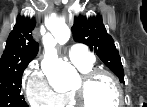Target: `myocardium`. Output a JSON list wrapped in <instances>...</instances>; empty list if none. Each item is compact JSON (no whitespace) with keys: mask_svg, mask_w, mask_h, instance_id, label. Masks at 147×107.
<instances>
[{"mask_svg":"<svg viewBox=\"0 0 147 107\" xmlns=\"http://www.w3.org/2000/svg\"><path fill=\"white\" fill-rule=\"evenodd\" d=\"M100 76H105L109 78V80L114 84L118 94L117 106L123 104V90L118 79L107 70L93 68L86 72H83L79 78V86L71 90V94L77 107H90L88 106L85 99V90L87 86H89L94 80H96Z\"/></svg>","mask_w":147,"mask_h":107,"instance_id":"1","label":"myocardium"}]
</instances>
